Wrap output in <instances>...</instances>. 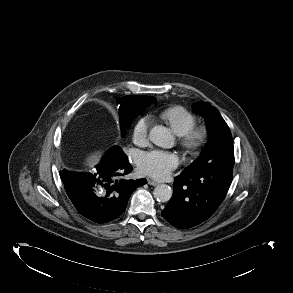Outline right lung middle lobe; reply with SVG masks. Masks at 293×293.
<instances>
[{
	"mask_svg": "<svg viewBox=\"0 0 293 293\" xmlns=\"http://www.w3.org/2000/svg\"><path fill=\"white\" fill-rule=\"evenodd\" d=\"M143 110H144V108H140V109H136V110H129L127 113L123 114L120 117L122 131L125 127H127L129 122L131 120H133L135 117H137Z\"/></svg>",
	"mask_w": 293,
	"mask_h": 293,
	"instance_id": "obj_1",
	"label": "right lung middle lobe"
}]
</instances>
